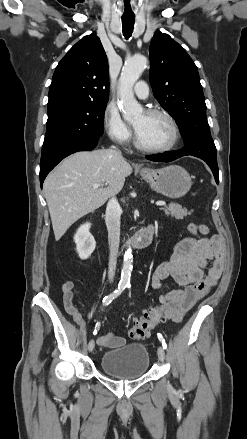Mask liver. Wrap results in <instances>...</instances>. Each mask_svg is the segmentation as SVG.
Wrapping results in <instances>:
<instances>
[{"instance_id": "liver-1", "label": "liver", "mask_w": 247, "mask_h": 439, "mask_svg": "<svg viewBox=\"0 0 247 439\" xmlns=\"http://www.w3.org/2000/svg\"><path fill=\"white\" fill-rule=\"evenodd\" d=\"M131 173V165L112 149L77 152L64 159L43 185L55 240L78 219L104 205ZM97 183L101 186L94 189Z\"/></svg>"}]
</instances>
